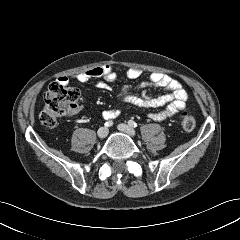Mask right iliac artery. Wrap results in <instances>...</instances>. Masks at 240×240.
<instances>
[{
    "label": "right iliac artery",
    "mask_w": 240,
    "mask_h": 240,
    "mask_svg": "<svg viewBox=\"0 0 240 240\" xmlns=\"http://www.w3.org/2000/svg\"><path fill=\"white\" fill-rule=\"evenodd\" d=\"M113 125V121L109 120L105 123V127H111Z\"/></svg>",
    "instance_id": "82829eb1"
}]
</instances>
